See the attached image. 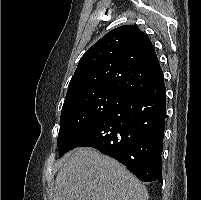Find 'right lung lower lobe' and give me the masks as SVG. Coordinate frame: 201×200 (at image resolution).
Masks as SVG:
<instances>
[{
  "instance_id": "1",
  "label": "right lung lower lobe",
  "mask_w": 201,
  "mask_h": 200,
  "mask_svg": "<svg viewBox=\"0 0 201 200\" xmlns=\"http://www.w3.org/2000/svg\"><path fill=\"white\" fill-rule=\"evenodd\" d=\"M166 117L164 79L129 96L121 105L83 129L65 147H93L124 164L141 181L162 183Z\"/></svg>"
}]
</instances>
